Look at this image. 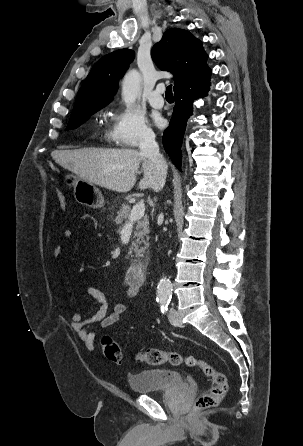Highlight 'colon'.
Listing matches in <instances>:
<instances>
[{"instance_id":"1","label":"colon","mask_w":303,"mask_h":446,"mask_svg":"<svg viewBox=\"0 0 303 446\" xmlns=\"http://www.w3.org/2000/svg\"><path fill=\"white\" fill-rule=\"evenodd\" d=\"M57 196L61 208L66 210L67 201L65 196L61 193H58ZM101 348L108 360L117 364L121 363L122 352L118 342L113 337L104 335L101 339ZM136 359L139 362L154 366L166 363L174 366L186 364L189 367L200 369L212 381V386L197 399L194 406L195 412L218 405L227 395L228 382L225 374L208 362L192 355H182L178 352H167L157 348H148L139 352L136 355Z\"/></svg>"}]
</instances>
